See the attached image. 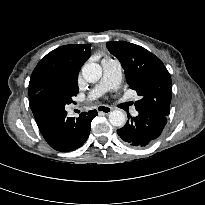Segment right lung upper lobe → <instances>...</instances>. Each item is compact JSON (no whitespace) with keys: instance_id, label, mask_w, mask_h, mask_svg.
Instances as JSON below:
<instances>
[{"instance_id":"obj_1","label":"right lung upper lobe","mask_w":205,"mask_h":205,"mask_svg":"<svg viewBox=\"0 0 205 205\" xmlns=\"http://www.w3.org/2000/svg\"><path fill=\"white\" fill-rule=\"evenodd\" d=\"M90 47V44H70L48 53L31 75L29 99L49 87L65 88L67 79L77 78L80 68L90 57Z\"/></svg>"}]
</instances>
